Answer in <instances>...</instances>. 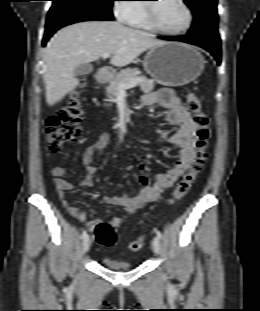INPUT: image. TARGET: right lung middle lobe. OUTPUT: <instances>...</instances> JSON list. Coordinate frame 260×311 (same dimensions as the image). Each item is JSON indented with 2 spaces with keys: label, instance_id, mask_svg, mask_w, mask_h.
I'll return each instance as SVG.
<instances>
[{
  "label": "right lung middle lobe",
  "instance_id": "dd1d6c3e",
  "mask_svg": "<svg viewBox=\"0 0 260 311\" xmlns=\"http://www.w3.org/2000/svg\"><path fill=\"white\" fill-rule=\"evenodd\" d=\"M51 8L58 9L60 6L87 11L102 16L113 18L111 7L114 0H52Z\"/></svg>",
  "mask_w": 260,
  "mask_h": 311
}]
</instances>
